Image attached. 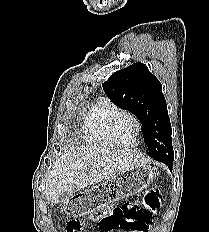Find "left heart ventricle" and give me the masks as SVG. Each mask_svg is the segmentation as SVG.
<instances>
[{
	"label": "left heart ventricle",
	"instance_id": "obj_1",
	"mask_svg": "<svg viewBox=\"0 0 209 232\" xmlns=\"http://www.w3.org/2000/svg\"><path fill=\"white\" fill-rule=\"evenodd\" d=\"M134 129V122L126 116L120 117L113 126L116 139L123 144H128L132 141Z\"/></svg>",
	"mask_w": 209,
	"mask_h": 232
}]
</instances>
